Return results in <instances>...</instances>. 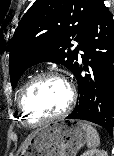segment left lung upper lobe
Masks as SVG:
<instances>
[{"label": "left lung upper lobe", "mask_w": 114, "mask_h": 156, "mask_svg": "<svg viewBox=\"0 0 114 156\" xmlns=\"http://www.w3.org/2000/svg\"><path fill=\"white\" fill-rule=\"evenodd\" d=\"M100 0H36L17 27L9 55L12 87L32 65L60 63L73 73L79 46Z\"/></svg>", "instance_id": "1"}]
</instances>
